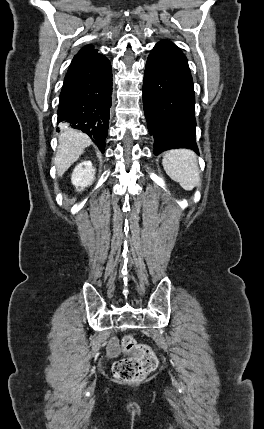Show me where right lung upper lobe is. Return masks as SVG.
Returning a JSON list of instances; mask_svg holds the SVG:
<instances>
[{
    "label": "right lung upper lobe",
    "mask_w": 264,
    "mask_h": 429,
    "mask_svg": "<svg viewBox=\"0 0 264 429\" xmlns=\"http://www.w3.org/2000/svg\"><path fill=\"white\" fill-rule=\"evenodd\" d=\"M96 50L95 49H93V46H91V45H87V46H85V47H83L76 55H75V57H74V59H73V61L72 62H74L75 60H77V59H80V58H82V57H84V56H86V55H88V54H91V53H93V52H95Z\"/></svg>",
    "instance_id": "right-lung-upper-lobe-1"
}]
</instances>
